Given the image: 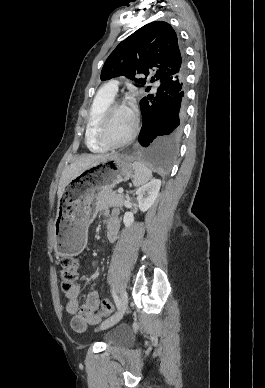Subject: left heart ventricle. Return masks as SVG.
<instances>
[{
	"label": "left heart ventricle",
	"instance_id": "left-heart-ventricle-1",
	"mask_svg": "<svg viewBox=\"0 0 265 388\" xmlns=\"http://www.w3.org/2000/svg\"><path fill=\"white\" fill-rule=\"evenodd\" d=\"M132 121L125 108L113 110L106 118L103 133L110 140L122 139L130 131Z\"/></svg>",
	"mask_w": 265,
	"mask_h": 388
}]
</instances>
